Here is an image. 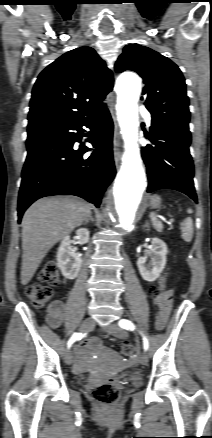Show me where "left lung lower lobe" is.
<instances>
[{
  "mask_svg": "<svg viewBox=\"0 0 212 438\" xmlns=\"http://www.w3.org/2000/svg\"><path fill=\"white\" fill-rule=\"evenodd\" d=\"M151 142L142 149L147 167L148 193L159 189L183 192L197 202L194 165L189 153L191 134L188 124L152 120Z\"/></svg>",
  "mask_w": 212,
  "mask_h": 438,
  "instance_id": "1",
  "label": "left lung lower lobe"
}]
</instances>
